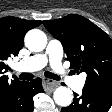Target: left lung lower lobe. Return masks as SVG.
Returning <instances> with one entry per match:
<instances>
[{
  "mask_svg": "<svg viewBox=\"0 0 112 112\" xmlns=\"http://www.w3.org/2000/svg\"><path fill=\"white\" fill-rule=\"evenodd\" d=\"M112 106V92L83 88L82 95L74 93V101L61 112H108Z\"/></svg>",
  "mask_w": 112,
  "mask_h": 112,
  "instance_id": "0a47b994",
  "label": "left lung lower lobe"
}]
</instances>
